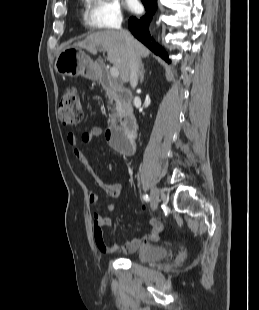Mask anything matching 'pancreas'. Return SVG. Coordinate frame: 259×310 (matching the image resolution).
<instances>
[{
  "mask_svg": "<svg viewBox=\"0 0 259 310\" xmlns=\"http://www.w3.org/2000/svg\"><path fill=\"white\" fill-rule=\"evenodd\" d=\"M117 116H118V113H115V112L111 113V114L109 115V122H110V123H115V122H116Z\"/></svg>",
  "mask_w": 259,
  "mask_h": 310,
  "instance_id": "pancreas-1",
  "label": "pancreas"
}]
</instances>
